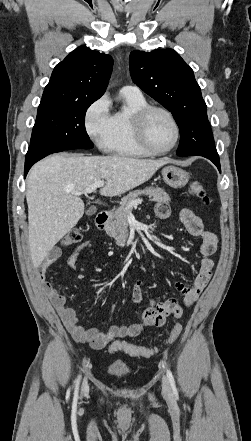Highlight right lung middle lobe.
Here are the masks:
<instances>
[{
  "label": "right lung middle lobe",
  "instance_id": "1",
  "mask_svg": "<svg viewBox=\"0 0 251 441\" xmlns=\"http://www.w3.org/2000/svg\"><path fill=\"white\" fill-rule=\"evenodd\" d=\"M97 99L41 102L30 146H46L62 150L93 148L94 145L85 130V113Z\"/></svg>",
  "mask_w": 251,
  "mask_h": 441
}]
</instances>
